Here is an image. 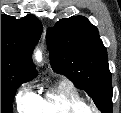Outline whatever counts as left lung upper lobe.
I'll list each match as a JSON object with an SVG mask.
<instances>
[{
  "mask_svg": "<svg viewBox=\"0 0 121 113\" xmlns=\"http://www.w3.org/2000/svg\"><path fill=\"white\" fill-rule=\"evenodd\" d=\"M46 41L52 69L87 92L103 113H111V73L97 28L83 16L64 18L48 29Z\"/></svg>",
  "mask_w": 121,
  "mask_h": 113,
  "instance_id": "left-lung-upper-lobe-1",
  "label": "left lung upper lobe"
}]
</instances>
